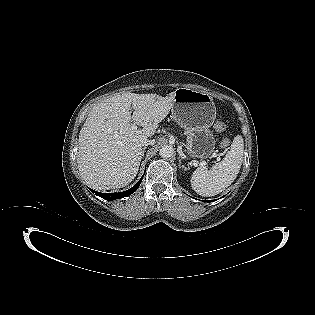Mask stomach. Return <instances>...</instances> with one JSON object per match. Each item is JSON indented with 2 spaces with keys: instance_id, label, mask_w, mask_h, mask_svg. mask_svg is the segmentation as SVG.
<instances>
[{
  "instance_id": "0dacf381",
  "label": "stomach",
  "mask_w": 315,
  "mask_h": 315,
  "mask_svg": "<svg viewBox=\"0 0 315 315\" xmlns=\"http://www.w3.org/2000/svg\"><path fill=\"white\" fill-rule=\"evenodd\" d=\"M172 116L184 129L188 155L191 158H210L216 145L210 130L216 118L213 98L202 91L178 88L174 94Z\"/></svg>"
}]
</instances>
